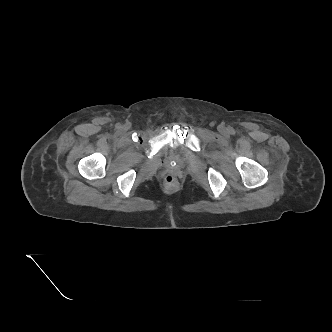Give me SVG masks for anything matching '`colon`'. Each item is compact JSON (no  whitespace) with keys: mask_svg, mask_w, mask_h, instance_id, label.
<instances>
[{"mask_svg":"<svg viewBox=\"0 0 332 332\" xmlns=\"http://www.w3.org/2000/svg\"><path fill=\"white\" fill-rule=\"evenodd\" d=\"M164 186L168 190H174L178 186V181L175 176L173 175H167L164 178Z\"/></svg>","mask_w":332,"mask_h":332,"instance_id":"obj_1","label":"colon"}]
</instances>
